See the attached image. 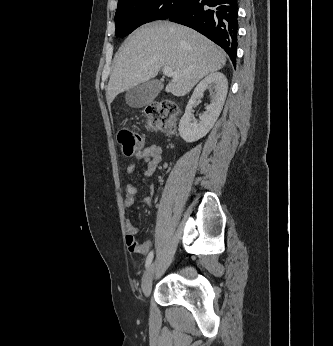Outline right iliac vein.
Segmentation results:
<instances>
[{
	"label": "right iliac vein",
	"instance_id": "1",
	"mask_svg": "<svg viewBox=\"0 0 333 346\" xmlns=\"http://www.w3.org/2000/svg\"><path fill=\"white\" fill-rule=\"evenodd\" d=\"M153 276H154V264L150 265L148 269L146 270L143 278H142V292L145 296H148L152 289V283H153Z\"/></svg>",
	"mask_w": 333,
	"mask_h": 346
}]
</instances>
